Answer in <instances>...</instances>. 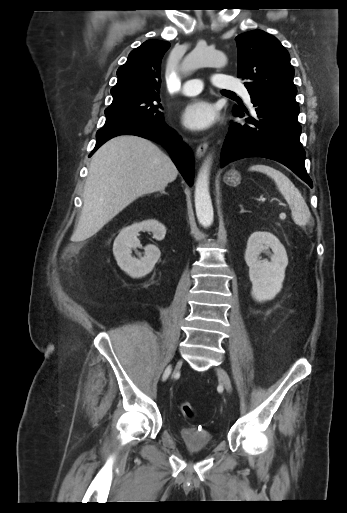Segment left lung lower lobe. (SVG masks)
Returning a JSON list of instances; mask_svg holds the SVG:
<instances>
[{"label": "left lung lower lobe", "instance_id": "obj_1", "mask_svg": "<svg viewBox=\"0 0 347 513\" xmlns=\"http://www.w3.org/2000/svg\"><path fill=\"white\" fill-rule=\"evenodd\" d=\"M252 113L239 107L234 115L243 122H232L226 136L220 165L245 157H264L278 161L313 187L305 169V151L300 143L299 106L293 96L251 95Z\"/></svg>", "mask_w": 347, "mask_h": 513}]
</instances>
